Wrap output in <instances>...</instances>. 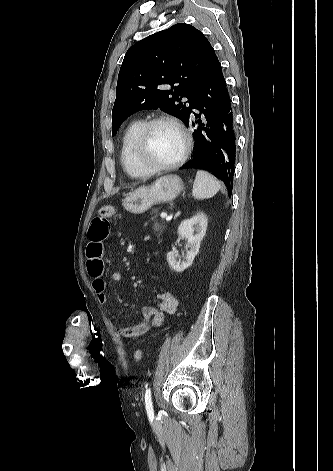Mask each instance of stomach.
Wrapping results in <instances>:
<instances>
[{"mask_svg":"<svg viewBox=\"0 0 333 471\" xmlns=\"http://www.w3.org/2000/svg\"><path fill=\"white\" fill-rule=\"evenodd\" d=\"M183 183L177 175H165L152 185L142 186L126 195L122 206L130 213L141 214L154 204L170 202L182 191Z\"/></svg>","mask_w":333,"mask_h":471,"instance_id":"obj_1","label":"stomach"}]
</instances>
